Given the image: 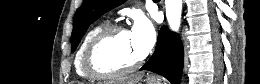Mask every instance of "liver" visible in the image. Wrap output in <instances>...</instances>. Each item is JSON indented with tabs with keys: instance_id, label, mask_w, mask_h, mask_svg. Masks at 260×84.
Returning a JSON list of instances; mask_svg holds the SVG:
<instances>
[{
	"instance_id": "6515ba94",
	"label": "liver",
	"mask_w": 260,
	"mask_h": 84,
	"mask_svg": "<svg viewBox=\"0 0 260 84\" xmlns=\"http://www.w3.org/2000/svg\"><path fill=\"white\" fill-rule=\"evenodd\" d=\"M142 74H138L132 77H125L120 80V84H137L138 81L142 78ZM114 82H107L104 84H113Z\"/></svg>"
}]
</instances>
